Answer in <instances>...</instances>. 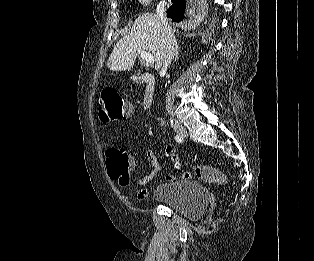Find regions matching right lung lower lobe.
Wrapping results in <instances>:
<instances>
[{
  "label": "right lung lower lobe",
  "instance_id": "1",
  "mask_svg": "<svg viewBox=\"0 0 314 261\" xmlns=\"http://www.w3.org/2000/svg\"><path fill=\"white\" fill-rule=\"evenodd\" d=\"M173 5L167 11V17L175 22H180L184 18L185 8L187 5L186 0H171Z\"/></svg>",
  "mask_w": 314,
  "mask_h": 261
}]
</instances>
